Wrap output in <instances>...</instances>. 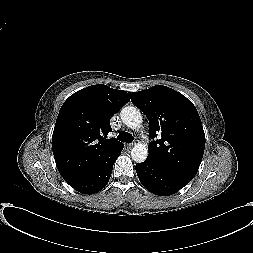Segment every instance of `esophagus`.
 Returning a JSON list of instances; mask_svg holds the SVG:
<instances>
[{
  "mask_svg": "<svg viewBox=\"0 0 253 253\" xmlns=\"http://www.w3.org/2000/svg\"><path fill=\"white\" fill-rule=\"evenodd\" d=\"M134 145H135V143H129L126 146H127V148H132Z\"/></svg>",
  "mask_w": 253,
  "mask_h": 253,
  "instance_id": "esophagus-1",
  "label": "esophagus"
}]
</instances>
